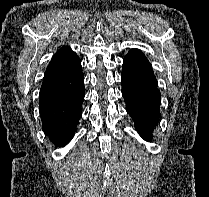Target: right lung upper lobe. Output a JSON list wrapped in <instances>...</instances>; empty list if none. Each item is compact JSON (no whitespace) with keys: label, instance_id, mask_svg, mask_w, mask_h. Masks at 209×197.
Masks as SVG:
<instances>
[{"label":"right lung upper lobe","instance_id":"cb5924a9","mask_svg":"<svg viewBox=\"0 0 209 197\" xmlns=\"http://www.w3.org/2000/svg\"><path fill=\"white\" fill-rule=\"evenodd\" d=\"M71 52H72V50L68 46H64V47L60 48L54 54L52 60L50 61L49 65L47 67V69L51 68L52 66L56 65L57 63H59L61 60L65 59Z\"/></svg>","mask_w":209,"mask_h":197}]
</instances>
